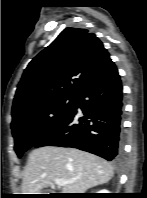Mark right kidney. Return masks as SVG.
Listing matches in <instances>:
<instances>
[{
  "label": "right kidney",
  "mask_w": 147,
  "mask_h": 198,
  "mask_svg": "<svg viewBox=\"0 0 147 198\" xmlns=\"http://www.w3.org/2000/svg\"><path fill=\"white\" fill-rule=\"evenodd\" d=\"M110 191H108L107 189H102L101 191H97V193H109Z\"/></svg>",
  "instance_id": "obj_1"
}]
</instances>
